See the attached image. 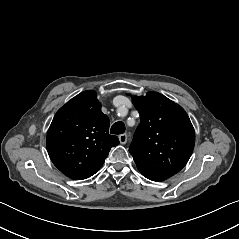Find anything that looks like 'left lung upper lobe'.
Wrapping results in <instances>:
<instances>
[{
    "label": "left lung upper lobe",
    "mask_w": 239,
    "mask_h": 239,
    "mask_svg": "<svg viewBox=\"0 0 239 239\" xmlns=\"http://www.w3.org/2000/svg\"><path fill=\"white\" fill-rule=\"evenodd\" d=\"M132 100L141 119L129 149L137 168L178 173L188 162L195 144V131L187 113L157 92Z\"/></svg>",
    "instance_id": "left-lung-upper-lobe-1"
}]
</instances>
